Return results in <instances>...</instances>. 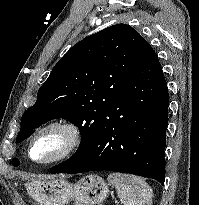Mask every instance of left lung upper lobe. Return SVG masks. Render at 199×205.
Here are the masks:
<instances>
[{"mask_svg": "<svg viewBox=\"0 0 199 205\" xmlns=\"http://www.w3.org/2000/svg\"><path fill=\"white\" fill-rule=\"evenodd\" d=\"M145 39L131 26L117 24L75 44L41 86L36 103L21 118L16 142L52 119H67L81 131L82 143L67 161L50 169L60 173L79 160L102 128L105 114L122 92ZM12 164L19 165L18 159Z\"/></svg>", "mask_w": 199, "mask_h": 205, "instance_id": "1", "label": "left lung upper lobe"}]
</instances>
